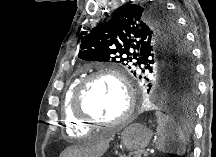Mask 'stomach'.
Segmentation results:
<instances>
[{
    "label": "stomach",
    "instance_id": "0dacf381",
    "mask_svg": "<svg viewBox=\"0 0 216 157\" xmlns=\"http://www.w3.org/2000/svg\"><path fill=\"white\" fill-rule=\"evenodd\" d=\"M121 136L129 150H143L148 146L152 133L140 124H132L122 131Z\"/></svg>",
    "mask_w": 216,
    "mask_h": 157
}]
</instances>
